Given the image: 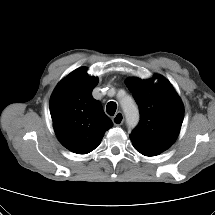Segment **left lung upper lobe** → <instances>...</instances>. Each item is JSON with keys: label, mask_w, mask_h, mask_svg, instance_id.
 Returning a JSON list of instances; mask_svg holds the SVG:
<instances>
[{"label": "left lung upper lobe", "mask_w": 215, "mask_h": 215, "mask_svg": "<svg viewBox=\"0 0 215 215\" xmlns=\"http://www.w3.org/2000/svg\"><path fill=\"white\" fill-rule=\"evenodd\" d=\"M125 83L140 111V122L130 135L133 146L145 156L159 155L172 146L180 132L182 101L170 82L160 75L149 80L129 78Z\"/></svg>", "instance_id": "1"}]
</instances>
